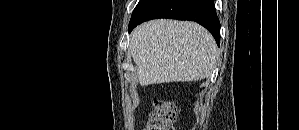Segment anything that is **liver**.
<instances>
[{
  "instance_id": "obj_1",
  "label": "liver",
  "mask_w": 299,
  "mask_h": 130,
  "mask_svg": "<svg viewBox=\"0 0 299 130\" xmlns=\"http://www.w3.org/2000/svg\"><path fill=\"white\" fill-rule=\"evenodd\" d=\"M130 52L138 81L147 86L208 78L218 49L212 35L199 24L158 19L132 31Z\"/></svg>"
}]
</instances>
